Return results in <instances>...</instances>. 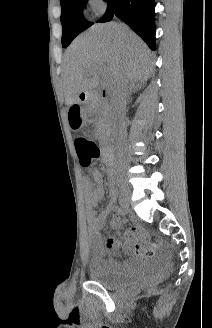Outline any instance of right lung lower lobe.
<instances>
[{
  "mask_svg": "<svg viewBox=\"0 0 212 328\" xmlns=\"http://www.w3.org/2000/svg\"><path fill=\"white\" fill-rule=\"evenodd\" d=\"M108 7L99 22L111 21L116 15L155 50L154 0H105Z\"/></svg>",
  "mask_w": 212,
  "mask_h": 328,
  "instance_id": "98d812e1",
  "label": "right lung lower lobe"
}]
</instances>
